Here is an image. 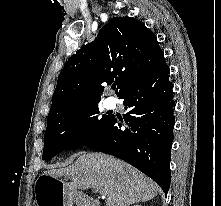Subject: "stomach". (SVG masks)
Returning <instances> with one entry per match:
<instances>
[{
    "instance_id": "0dacf381",
    "label": "stomach",
    "mask_w": 221,
    "mask_h": 206,
    "mask_svg": "<svg viewBox=\"0 0 221 206\" xmlns=\"http://www.w3.org/2000/svg\"><path fill=\"white\" fill-rule=\"evenodd\" d=\"M80 198L75 188L57 177L43 174L37 181L35 206H73Z\"/></svg>"
}]
</instances>
